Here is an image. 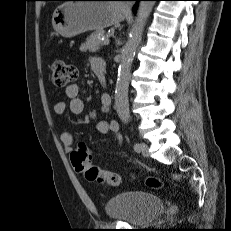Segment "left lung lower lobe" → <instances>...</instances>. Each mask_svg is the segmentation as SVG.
<instances>
[{"label":"left lung lower lobe","mask_w":231,"mask_h":231,"mask_svg":"<svg viewBox=\"0 0 231 231\" xmlns=\"http://www.w3.org/2000/svg\"><path fill=\"white\" fill-rule=\"evenodd\" d=\"M131 1H143V0H131ZM136 9H137V5H135L134 8H133L134 13L136 12Z\"/></svg>","instance_id":"obj_1"}]
</instances>
